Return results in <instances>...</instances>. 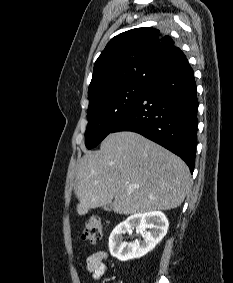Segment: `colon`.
I'll return each instance as SVG.
<instances>
[{"instance_id": "5ec220e1", "label": "colon", "mask_w": 233, "mask_h": 283, "mask_svg": "<svg viewBox=\"0 0 233 283\" xmlns=\"http://www.w3.org/2000/svg\"><path fill=\"white\" fill-rule=\"evenodd\" d=\"M102 234V223L99 217L92 216L85 223L82 230V239L90 243L97 242Z\"/></svg>"}]
</instances>
